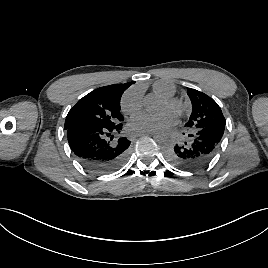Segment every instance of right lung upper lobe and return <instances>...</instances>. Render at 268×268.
I'll use <instances>...</instances> for the list:
<instances>
[{
	"label": "right lung upper lobe",
	"mask_w": 268,
	"mask_h": 268,
	"mask_svg": "<svg viewBox=\"0 0 268 268\" xmlns=\"http://www.w3.org/2000/svg\"><path fill=\"white\" fill-rule=\"evenodd\" d=\"M134 83L135 82H129V83L117 84V85H109V86L100 87L98 88V90L104 91L110 94H114L117 96H122L123 92Z\"/></svg>",
	"instance_id": "1"
}]
</instances>
